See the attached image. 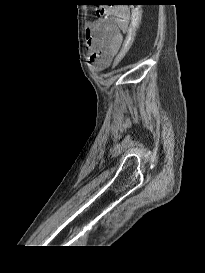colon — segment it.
I'll list each match as a JSON object with an SVG mask.
<instances>
[{"label":"colon","mask_w":205,"mask_h":273,"mask_svg":"<svg viewBox=\"0 0 205 273\" xmlns=\"http://www.w3.org/2000/svg\"><path fill=\"white\" fill-rule=\"evenodd\" d=\"M137 27H138V17H137V15H134L133 20L130 24V28H129L128 34L126 36L124 45H123L121 51L119 52L118 56L115 59V62H114L115 67L118 66L125 59L127 54L129 53L132 43H133V40L135 38Z\"/></svg>","instance_id":"obj_1"}]
</instances>
